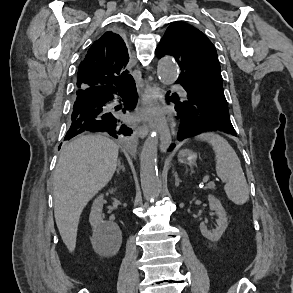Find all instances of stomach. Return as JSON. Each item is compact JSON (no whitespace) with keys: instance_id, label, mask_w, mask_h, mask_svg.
Returning a JSON list of instances; mask_svg holds the SVG:
<instances>
[{"instance_id":"obj_1","label":"stomach","mask_w":293,"mask_h":293,"mask_svg":"<svg viewBox=\"0 0 293 293\" xmlns=\"http://www.w3.org/2000/svg\"><path fill=\"white\" fill-rule=\"evenodd\" d=\"M197 155L189 149H183L178 153V160L180 163L193 165L196 162Z\"/></svg>"}]
</instances>
